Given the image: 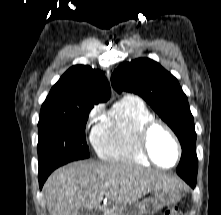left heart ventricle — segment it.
<instances>
[{"label": "left heart ventricle", "mask_w": 221, "mask_h": 215, "mask_svg": "<svg viewBox=\"0 0 221 215\" xmlns=\"http://www.w3.org/2000/svg\"><path fill=\"white\" fill-rule=\"evenodd\" d=\"M151 153L163 165H172L176 159V147L170 136L161 128L152 131L149 139Z\"/></svg>", "instance_id": "b2bd125f"}]
</instances>
